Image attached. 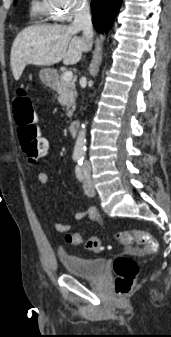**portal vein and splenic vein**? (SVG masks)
I'll list each match as a JSON object with an SVG mask.
<instances>
[{
  "label": "portal vein and splenic vein",
  "mask_w": 171,
  "mask_h": 337,
  "mask_svg": "<svg viewBox=\"0 0 171 337\" xmlns=\"http://www.w3.org/2000/svg\"><path fill=\"white\" fill-rule=\"evenodd\" d=\"M62 77H63V80L66 82L71 81L73 77V73L72 71H66L63 73Z\"/></svg>",
  "instance_id": "1"
}]
</instances>
